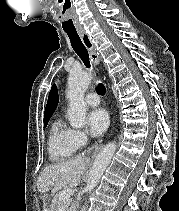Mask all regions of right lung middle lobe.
I'll return each mask as SVG.
<instances>
[{
	"instance_id": "right-lung-middle-lobe-1",
	"label": "right lung middle lobe",
	"mask_w": 179,
	"mask_h": 211,
	"mask_svg": "<svg viewBox=\"0 0 179 211\" xmlns=\"http://www.w3.org/2000/svg\"><path fill=\"white\" fill-rule=\"evenodd\" d=\"M49 119H50V118H45V119H44V127L47 126V124H48V122H49Z\"/></svg>"
}]
</instances>
